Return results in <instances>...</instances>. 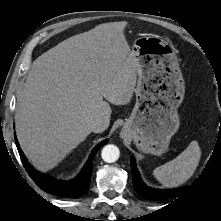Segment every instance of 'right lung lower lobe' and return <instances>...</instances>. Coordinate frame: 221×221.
<instances>
[{
  "label": "right lung lower lobe",
  "instance_id": "right-lung-lower-lobe-1",
  "mask_svg": "<svg viewBox=\"0 0 221 221\" xmlns=\"http://www.w3.org/2000/svg\"><path fill=\"white\" fill-rule=\"evenodd\" d=\"M15 140L23 165L34 182L45 192L64 198H77L87 190L93 169V158L97 151L108 142V140H104L92 150L82 171L75 179L70 181H58L34 170L27 162L16 138Z\"/></svg>",
  "mask_w": 221,
  "mask_h": 221
}]
</instances>
